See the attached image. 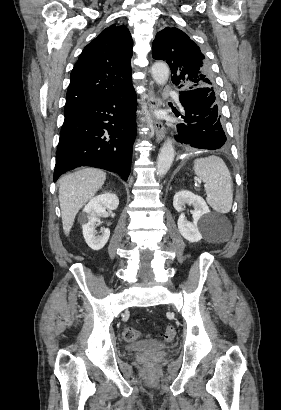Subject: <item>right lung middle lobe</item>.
<instances>
[{
    "label": "right lung middle lobe",
    "mask_w": 281,
    "mask_h": 410,
    "mask_svg": "<svg viewBox=\"0 0 281 410\" xmlns=\"http://www.w3.org/2000/svg\"><path fill=\"white\" fill-rule=\"evenodd\" d=\"M76 111L75 109H70V110H64V116L65 118L70 117L71 115H73Z\"/></svg>",
    "instance_id": "obj_1"
}]
</instances>
